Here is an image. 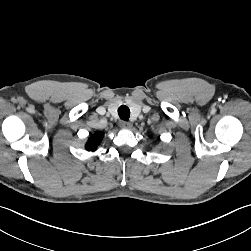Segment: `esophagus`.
<instances>
[{
    "label": "esophagus",
    "instance_id": "obj_1",
    "mask_svg": "<svg viewBox=\"0 0 251 251\" xmlns=\"http://www.w3.org/2000/svg\"><path fill=\"white\" fill-rule=\"evenodd\" d=\"M120 127L123 128V129H129L132 127L131 123L129 122H126V121H121L120 122Z\"/></svg>",
    "mask_w": 251,
    "mask_h": 251
}]
</instances>
